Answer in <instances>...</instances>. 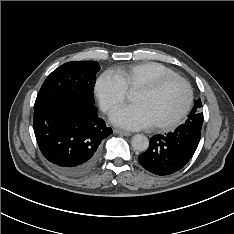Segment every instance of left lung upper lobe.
Returning <instances> with one entry per match:
<instances>
[{
    "instance_id": "1",
    "label": "left lung upper lobe",
    "mask_w": 234,
    "mask_h": 234,
    "mask_svg": "<svg viewBox=\"0 0 234 234\" xmlns=\"http://www.w3.org/2000/svg\"><path fill=\"white\" fill-rule=\"evenodd\" d=\"M201 107H202L201 100L200 99L196 100L193 109L190 115L188 116V119L186 120L185 124L192 125L202 129L203 113L201 112Z\"/></svg>"
}]
</instances>
